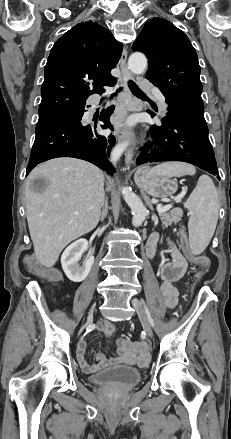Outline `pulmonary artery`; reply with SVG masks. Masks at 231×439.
Returning a JSON list of instances; mask_svg holds the SVG:
<instances>
[{
	"label": "pulmonary artery",
	"mask_w": 231,
	"mask_h": 439,
	"mask_svg": "<svg viewBox=\"0 0 231 439\" xmlns=\"http://www.w3.org/2000/svg\"><path fill=\"white\" fill-rule=\"evenodd\" d=\"M151 91L157 97L163 112L166 113L168 111V106H167V103H166V100H165V97L163 96V94L155 88L151 89Z\"/></svg>",
	"instance_id": "1"
}]
</instances>
